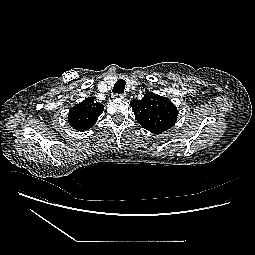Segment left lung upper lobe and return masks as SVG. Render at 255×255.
<instances>
[{"instance_id":"5c2ea615","label":"left lung upper lobe","mask_w":255,"mask_h":255,"mask_svg":"<svg viewBox=\"0 0 255 255\" xmlns=\"http://www.w3.org/2000/svg\"><path fill=\"white\" fill-rule=\"evenodd\" d=\"M131 106L138 123L152 133L160 134L176 123V106L153 92L146 93L141 100H132Z\"/></svg>"}]
</instances>
